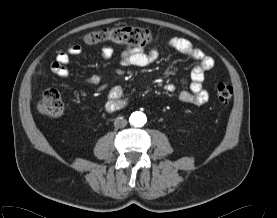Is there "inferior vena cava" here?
Segmentation results:
<instances>
[{"label": "inferior vena cava", "mask_w": 277, "mask_h": 218, "mask_svg": "<svg viewBox=\"0 0 277 218\" xmlns=\"http://www.w3.org/2000/svg\"><path fill=\"white\" fill-rule=\"evenodd\" d=\"M127 125L126 119H116L114 122L115 128H124Z\"/></svg>", "instance_id": "602c4592"}]
</instances>
